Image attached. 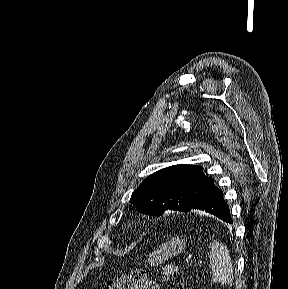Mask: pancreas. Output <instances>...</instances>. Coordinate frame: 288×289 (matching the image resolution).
I'll list each match as a JSON object with an SVG mask.
<instances>
[{
	"instance_id": "obj_1",
	"label": "pancreas",
	"mask_w": 288,
	"mask_h": 289,
	"mask_svg": "<svg viewBox=\"0 0 288 289\" xmlns=\"http://www.w3.org/2000/svg\"><path fill=\"white\" fill-rule=\"evenodd\" d=\"M170 273H171V270H169L168 268H164L162 272L163 280L168 281Z\"/></svg>"
}]
</instances>
